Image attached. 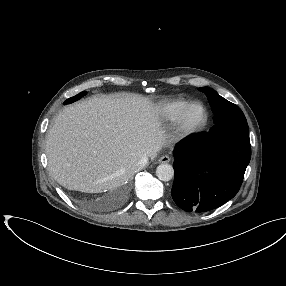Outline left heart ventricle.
<instances>
[{"label":"left heart ventricle","mask_w":286,"mask_h":286,"mask_svg":"<svg viewBox=\"0 0 286 286\" xmlns=\"http://www.w3.org/2000/svg\"><path fill=\"white\" fill-rule=\"evenodd\" d=\"M202 119H203V110L201 107L197 106L191 111L189 115V122L191 124H198L202 121Z\"/></svg>","instance_id":"1"}]
</instances>
